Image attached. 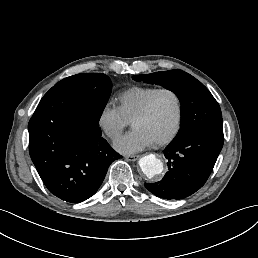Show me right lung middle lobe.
Instances as JSON below:
<instances>
[{
  "label": "right lung middle lobe",
  "instance_id": "dd1d6c3e",
  "mask_svg": "<svg viewBox=\"0 0 258 258\" xmlns=\"http://www.w3.org/2000/svg\"><path fill=\"white\" fill-rule=\"evenodd\" d=\"M68 85L83 87L88 91L89 113L99 120L112 89L109 77L102 73L77 74L59 81L50 90Z\"/></svg>",
  "mask_w": 258,
  "mask_h": 258
}]
</instances>
